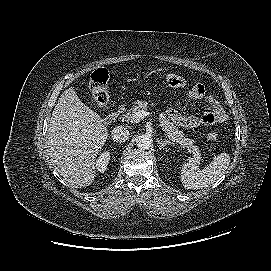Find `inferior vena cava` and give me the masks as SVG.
I'll return each mask as SVG.
<instances>
[{"label":"inferior vena cava","mask_w":271,"mask_h":271,"mask_svg":"<svg viewBox=\"0 0 271 271\" xmlns=\"http://www.w3.org/2000/svg\"><path fill=\"white\" fill-rule=\"evenodd\" d=\"M111 136L115 142H125L129 138V131L126 127L116 126L113 128Z\"/></svg>","instance_id":"inferior-vena-cava-1"}]
</instances>
